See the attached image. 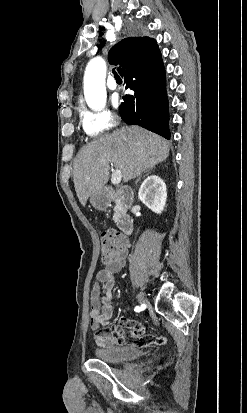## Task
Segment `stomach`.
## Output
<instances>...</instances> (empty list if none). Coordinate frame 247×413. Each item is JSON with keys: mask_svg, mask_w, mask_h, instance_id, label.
<instances>
[{"mask_svg": "<svg viewBox=\"0 0 247 413\" xmlns=\"http://www.w3.org/2000/svg\"><path fill=\"white\" fill-rule=\"evenodd\" d=\"M90 202L92 207H95L98 211H104L111 202V194H109L108 190L102 188L99 192H92V194H90Z\"/></svg>", "mask_w": 247, "mask_h": 413, "instance_id": "stomach-1", "label": "stomach"}]
</instances>
